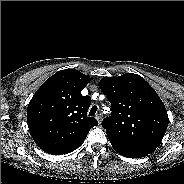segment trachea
Returning <instances> with one entry per match:
<instances>
[{
	"mask_svg": "<svg viewBox=\"0 0 184 184\" xmlns=\"http://www.w3.org/2000/svg\"><path fill=\"white\" fill-rule=\"evenodd\" d=\"M96 112H97V106H92L89 111V116H94Z\"/></svg>",
	"mask_w": 184,
	"mask_h": 184,
	"instance_id": "3493384b",
	"label": "trachea"
}]
</instances>
